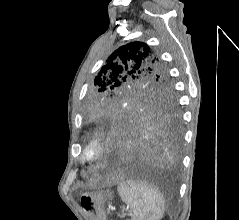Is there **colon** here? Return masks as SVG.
Here are the masks:
<instances>
[{"label": "colon", "instance_id": "1", "mask_svg": "<svg viewBox=\"0 0 239 220\" xmlns=\"http://www.w3.org/2000/svg\"><path fill=\"white\" fill-rule=\"evenodd\" d=\"M103 93L109 94V93H110V90H109V89H104V90H103Z\"/></svg>", "mask_w": 239, "mask_h": 220}]
</instances>
